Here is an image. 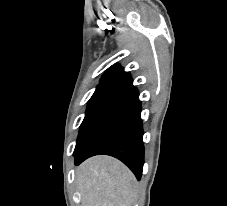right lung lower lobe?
Wrapping results in <instances>:
<instances>
[{
  "label": "right lung lower lobe",
  "mask_w": 227,
  "mask_h": 206,
  "mask_svg": "<svg viewBox=\"0 0 227 206\" xmlns=\"http://www.w3.org/2000/svg\"><path fill=\"white\" fill-rule=\"evenodd\" d=\"M129 91L112 104L74 151L75 165L85 159L106 154L122 161L140 180L144 164L141 102L138 90Z\"/></svg>",
  "instance_id": "right-lung-lower-lobe-1"
}]
</instances>
